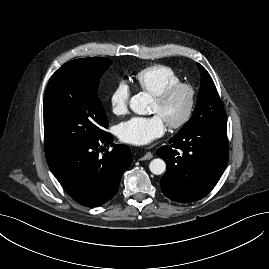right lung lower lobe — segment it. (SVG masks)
<instances>
[{"label":"right lung lower lobe","instance_id":"right-lung-lower-lobe-1","mask_svg":"<svg viewBox=\"0 0 269 269\" xmlns=\"http://www.w3.org/2000/svg\"><path fill=\"white\" fill-rule=\"evenodd\" d=\"M113 142L110 133L97 140L46 154L51 172L73 200L87 207L100 206L118 191L124 171L132 163L127 145H113L103 157L102 144Z\"/></svg>","mask_w":269,"mask_h":269}]
</instances>
